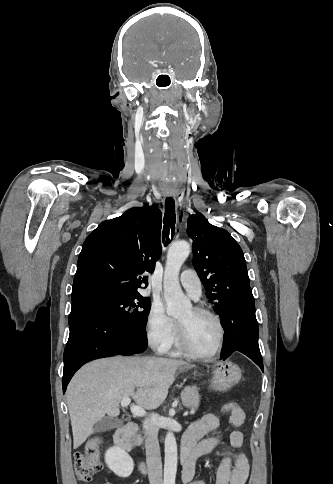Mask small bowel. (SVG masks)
<instances>
[{"label":"small bowel","instance_id":"small-bowel-1","mask_svg":"<svg viewBox=\"0 0 333 484\" xmlns=\"http://www.w3.org/2000/svg\"><path fill=\"white\" fill-rule=\"evenodd\" d=\"M222 417L228 418L236 428L229 436V447L218 467L215 484H245L249 476V463L243 452L244 436L239 428L245 421V412L241 407L230 413L205 414L192 424L185 432L183 439L194 443V452L191 462L183 468L182 480L184 484H206L201 479H195V465L198 458L210 453L217 445L222 443L218 436L210 435L220 425Z\"/></svg>","mask_w":333,"mask_h":484}]
</instances>
